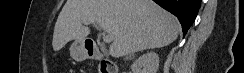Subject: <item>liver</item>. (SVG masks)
<instances>
[{
	"label": "liver",
	"instance_id": "obj_1",
	"mask_svg": "<svg viewBox=\"0 0 244 73\" xmlns=\"http://www.w3.org/2000/svg\"><path fill=\"white\" fill-rule=\"evenodd\" d=\"M84 21L113 36L109 52L115 58L167 46L181 29L177 18L152 0H67L54 27L53 50L84 41L90 34Z\"/></svg>",
	"mask_w": 244,
	"mask_h": 73
}]
</instances>
